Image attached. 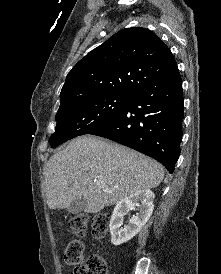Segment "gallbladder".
<instances>
[{
  "label": "gallbladder",
  "instance_id": "gallbladder-1",
  "mask_svg": "<svg viewBox=\"0 0 221 274\" xmlns=\"http://www.w3.org/2000/svg\"><path fill=\"white\" fill-rule=\"evenodd\" d=\"M86 202L83 198L74 200L68 208V211L72 214H79L84 211Z\"/></svg>",
  "mask_w": 221,
  "mask_h": 274
}]
</instances>
